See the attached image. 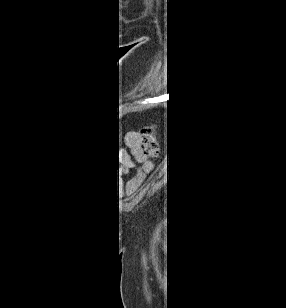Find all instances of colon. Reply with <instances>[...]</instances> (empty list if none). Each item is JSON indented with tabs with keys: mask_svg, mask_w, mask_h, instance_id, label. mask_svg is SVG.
I'll return each instance as SVG.
<instances>
[{
	"mask_svg": "<svg viewBox=\"0 0 286 308\" xmlns=\"http://www.w3.org/2000/svg\"><path fill=\"white\" fill-rule=\"evenodd\" d=\"M142 142L141 146L145 152H150L155 144L154 136H155V129L154 127L150 126L147 127L145 130L142 131Z\"/></svg>",
	"mask_w": 286,
	"mask_h": 308,
	"instance_id": "obj_1",
	"label": "colon"
}]
</instances>
